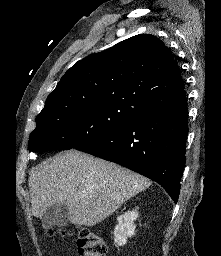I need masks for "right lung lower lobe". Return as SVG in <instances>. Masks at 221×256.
I'll use <instances>...</instances> for the list:
<instances>
[{"instance_id":"98d812e1","label":"right lung lower lobe","mask_w":221,"mask_h":256,"mask_svg":"<svg viewBox=\"0 0 221 256\" xmlns=\"http://www.w3.org/2000/svg\"><path fill=\"white\" fill-rule=\"evenodd\" d=\"M187 102L142 114L76 148L159 183L177 203L186 162Z\"/></svg>"}]
</instances>
